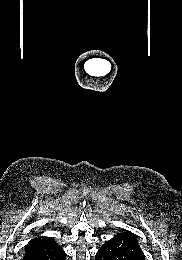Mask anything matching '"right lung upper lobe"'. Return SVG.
<instances>
[{
	"label": "right lung upper lobe",
	"mask_w": 182,
	"mask_h": 260,
	"mask_svg": "<svg viewBox=\"0 0 182 260\" xmlns=\"http://www.w3.org/2000/svg\"><path fill=\"white\" fill-rule=\"evenodd\" d=\"M47 241H50V238H44V237H38V238H35L33 240H31L27 246H30V245H34V244H38V243H43V242H47Z\"/></svg>",
	"instance_id": "right-lung-upper-lobe-1"
}]
</instances>
